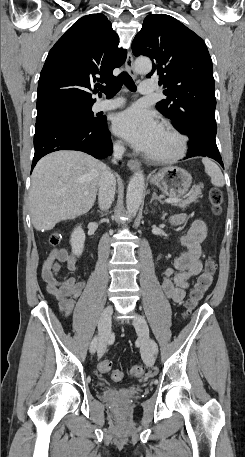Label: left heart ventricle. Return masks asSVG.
Returning a JSON list of instances; mask_svg holds the SVG:
<instances>
[{
	"mask_svg": "<svg viewBox=\"0 0 245 457\" xmlns=\"http://www.w3.org/2000/svg\"><path fill=\"white\" fill-rule=\"evenodd\" d=\"M175 140L161 131L156 143L148 150V152H163L174 147Z\"/></svg>",
	"mask_w": 245,
	"mask_h": 457,
	"instance_id": "left-heart-ventricle-1",
	"label": "left heart ventricle"
}]
</instances>
